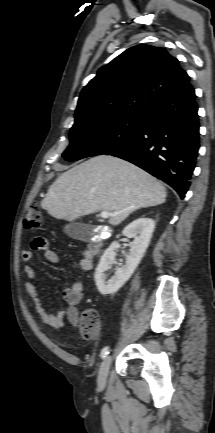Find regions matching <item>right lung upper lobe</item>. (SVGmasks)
<instances>
[{
  "mask_svg": "<svg viewBox=\"0 0 215 433\" xmlns=\"http://www.w3.org/2000/svg\"><path fill=\"white\" fill-rule=\"evenodd\" d=\"M188 84L189 76L165 49L131 47L100 68L83 88L75 124L143 115L155 103Z\"/></svg>",
  "mask_w": 215,
  "mask_h": 433,
  "instance_id": "cb5924a9",
  "label": "right lung upper lobe"
}]
</instances>
